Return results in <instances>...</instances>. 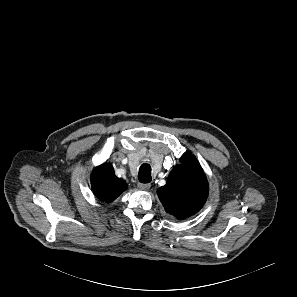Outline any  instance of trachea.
Returning <instances> with one entry per match:
<instances>
[{"label":"trachea","instance_id":"3493384b","mask_svg":"<svg viewBox=\"0 0 297 297\" xmlns=\"http://www.w3.org/2000/svg\"><path fill=\"white\" fill-rule=\"evenodd\" d=\"M138 179L141 183H149L151 181V166L144 163L139 168Z\"/></svg>","mask_w":297,"mask_h":297}]
</instances>
